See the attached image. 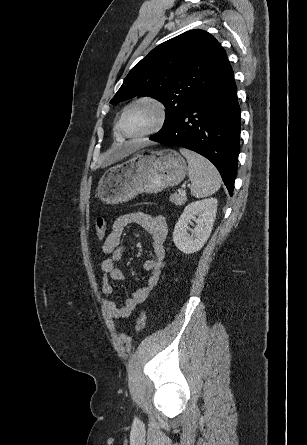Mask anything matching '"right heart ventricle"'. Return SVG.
Returning <instances> with one entry per match:
<instances>
[{"label": "right heart ventricle", "mask_w": 307, "mask_h": 445, "mask_svg": "<svg viewBox=\"0 0 307 445\" xmlns=\"http://www.w3.org/2000/svg\"><path fill=\"white\" fill-rule=\"evenodd\" d=\"M114 137H115V141L117 143H121L123 141V139H124L123 134H122L121 129H120V123L119 122H117V124L114 127Z\"/></svg>", "instance_id": "1"}]
</instances>
